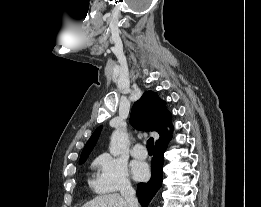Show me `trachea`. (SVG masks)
<instances>
[{"mask_svg": "<svg viewBox=\"0 0 261 207\" xmlns=\"http://www.w3.org/2000/svg\"><path fill=\"white\" fill-rule=\"evenodd\" d=\"M147 149L148 152L154 151V139L152 137L147 140Z\"/></svg>", "mask_w": 261, "mask_h": 207, "instance_id": "trachea-1", "label": "trachea"}]
</instances>
